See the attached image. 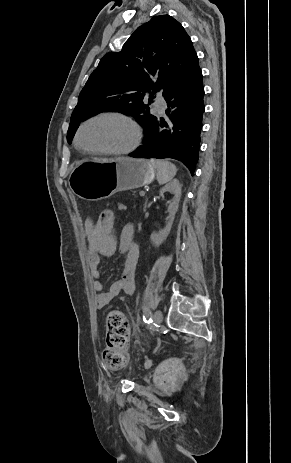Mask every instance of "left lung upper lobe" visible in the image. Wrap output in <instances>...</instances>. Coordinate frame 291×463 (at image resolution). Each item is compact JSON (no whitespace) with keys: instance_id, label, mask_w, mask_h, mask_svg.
I'll use <instances>...</instances> for the list:
<instances>
[{"instance_id":"5c2ea615","label":"left lung upper lobe","mask_w":291,"mask_h":463,"mask_svg":"<svg viewBox=\"0 0 291 463\" xmlns=\"http://www.w3.org/2000/svg\"><path fill=\"white\" fill-rule=\"evenodd\" d=\"M197 68V54L182 25L169 15L154 16L120 52L102 57L80 92L68 143L82 121L104 111L133 116L145 133L155 116L143 101L149 98L150 104L156 92L165 96Z\"/></svg>"}]
</instances>
